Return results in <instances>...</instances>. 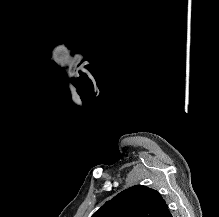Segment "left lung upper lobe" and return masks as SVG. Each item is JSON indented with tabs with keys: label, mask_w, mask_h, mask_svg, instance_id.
<instances>
[{
	"label": "left lung upper lobe",
	"mask_w": 219,
	"mask_h": 217,
	"mask_svg": "<svg viewBox=\"0 0 219 217\" xmlns=\"http://www.w3.org/2000/svg\"><path fill=\"white\" fill-rule=\"evenodd\" d=\"M92 217H172V215L158 191L136 185L106 202Z\"/></svg>",
	"instance_id": "1"
}]
</instances>
